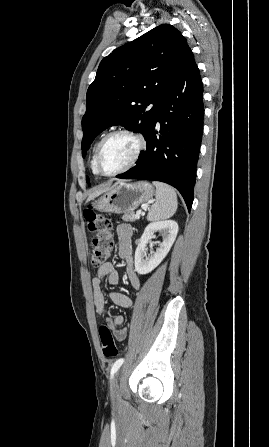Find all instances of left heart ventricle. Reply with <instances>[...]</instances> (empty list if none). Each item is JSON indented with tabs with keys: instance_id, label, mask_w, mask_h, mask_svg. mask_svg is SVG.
I'll use <instances>...</instances> for the list:
<instances>
[{
	"instance_id": "obj_1",
	"label": "left heart ventricle",
	"mask_w": 269,
	"mask_h": 447,
	"mask_svg": "<svg viewBox=\"0 0 269 447\" xmlns=\"http://www.w3.org/2000/svg\"><path fill=\"white\" fill-rule=\"evenodd\" d=\"M138 141L129 134H116L105 143L101 165L106 171H114L126 166L133 158Z\"/></svg>"
}]
</instances>
